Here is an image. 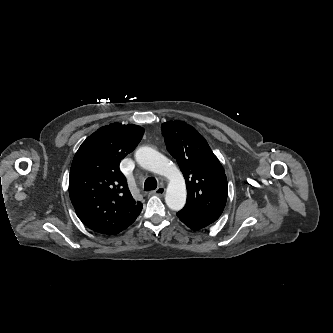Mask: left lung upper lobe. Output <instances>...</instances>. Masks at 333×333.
<instances>
[{
  "instance_id": "5c2ea615",
  "label": "left lung upper lobe",
  "mask_w": 333,
  "mask_h": 333,
  "mask_svg": "<svg viewBox=\"0 0 333 333\" xmlns=\"http://www.w3.org/2000/svg\"><path fill=\"white\" fill-rule=\"evenodd\" d=\"M162 135L186 181L184 207L220 216L227 199V178L206 140L183 121L163 123Z\"/></svg>"
}]
</instances>
